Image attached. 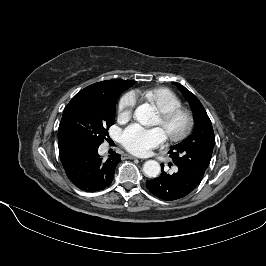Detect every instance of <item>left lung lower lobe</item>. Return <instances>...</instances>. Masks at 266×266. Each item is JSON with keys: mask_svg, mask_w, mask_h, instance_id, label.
Here are the masks:
<instances>
[{"mask_svg": "<svg viewBox=\"0 0 266 266\" xmlns=\"http://www.w3.org/2000/svg\"><path fill=\"white\" fill-rule=\"evenodd\" d=\"M177 173L172 175L163 171L160 177L147 180L148 190L160 199L173 201L190 194L201 181L196 180L186 170L178 167Z\"/></svg>", "mask_w": 266, "mask_h": 266, "instance_id": "obj_1", "label": "left lung lower lobe"}]
</instances>
